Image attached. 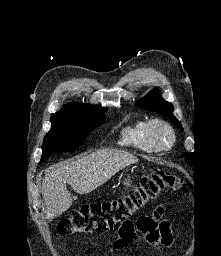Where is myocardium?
I'll return each mask as SVG.
<instances>
[{
  "label": "myocardium",
  "instance_id": "myocardium-1",
  "mask_svg": "<svg viewBox=\"0 0 221 256\" xmlns=\"http://www.w3.org/2000/svg\"><path fill=\"white\" fill-rule=\"evenodd\" d=\"M164 129L170 135V141L168 144H161L157 138V130ZM147 138L156 150H167L171 148L176 140V135L173 127L166 121L155 118L147 122Z\"/></svg>",
  "mask_w": 221,
  "mask_h": 256
}]
</instances>
